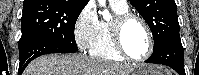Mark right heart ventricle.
Returning <instances> with one entry per match:
<instances>
[{
  "instance_id": "right-heart-ventricle-1",
  "label": "right heart ventricle",
  "mask_w": 199,
  "mask_h": 75,
  "mask_svg": "<svg viewBox=\"0 0 199 75\" xmlns=\"http://www.w3.org/2000/svg\"><path fill=\"white\" fill-rule=\"evenodd\" d=\"M113 10L117 15L128 13V8L120 9L113 7ZM109 26L110 22L105 20L100 21L99 33L95 42L90 47V54L103 60L122 62L124 57L116 50L113 44Z\"/></svg>"
}]
</instances>
